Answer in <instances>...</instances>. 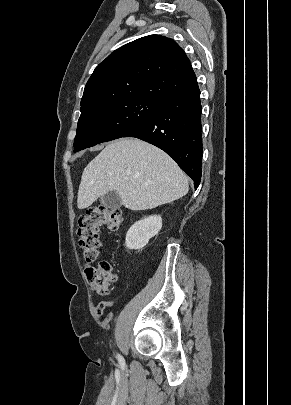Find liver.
Here are the masks:
<instances>
[{
    "label": "liver",
    "mask_w": 291,
    "mask_h": 405,
    "mask_svg": "<svg viewBox=\"0 0 291 405\" xmlns=\"http://www.w3.org/2000/svg\"><path fill=\"white\" fill-rule=\"evenodd\" d=\"M189 184L177 163L159 148L136 138L109 143L85 167L77 206L88 208L115 191L130 210L152 209L182 198Z\"/></svg>",
    "instance_id": "obj_1"
}]
</instances>
